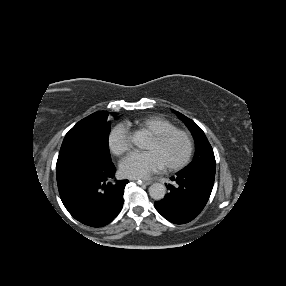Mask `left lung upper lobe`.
<instances>
[{"label": "left lung upper lobe", "mask_w": 286, "mask_h": 286, "mask_svg": "<svg viewBox=\"0 0 286 286\" xmlns=\"http://www.w3.org/2000/svg\"><path fill=\"white\" fill-rule=\"evenodd\" d=\"M176 115L186 124L192 132L196 142V153L192 162L182 170H193L199 168L216 169L213 149L202 129L191 119L175 111Z\"/></svg>", "instance_id": "obj_1"}]
</instances>
